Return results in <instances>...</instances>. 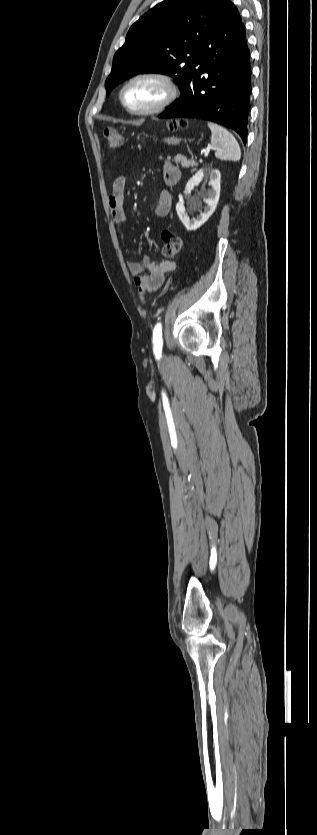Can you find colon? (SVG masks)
Returning a JSON list of instances; mask_svg holds the SVG:
<instances>
[{
  "label": "colon",
  "mask_w": 317,
  "mask_h": 835,
  "mask_svg": "<svg viewBox=\"0 0 317 835\" xmlns=\"http://www.w3.org/2000/svg\"><path fill=\"white\" fill-rule=\"evenodd\" d=\"M186 121H171L168 124V127L171 131H175L180 127H185ZM104 135L107 141V145L110 149L115 150L120 148L124 143V136L119 131L115 130L114 128H106L104 131ZM162 240L163 246L161 249L162 256L166 258L175 257L182 249L183 242L182 239L173 231L165 229L162 231ZM139 292L143 294L145 290L143 288H138Z\"/></svg>",
  "instance_id": "1"
}]
</instances>
